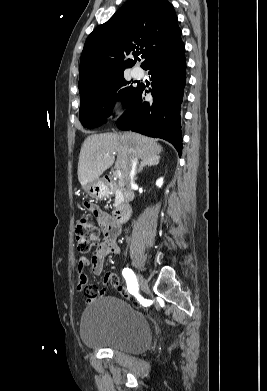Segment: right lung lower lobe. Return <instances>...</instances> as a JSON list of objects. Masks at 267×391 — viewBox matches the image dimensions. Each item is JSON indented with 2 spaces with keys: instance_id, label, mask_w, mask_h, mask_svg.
Returning a JSON list of instances; mask_svg holds the SVG:
<instances>
[{
  "instance_id": "obj_1",
  "label": "right lung lower lobe",
  "mask_w": 267,
  "mask_h": 391,
  "mask_svg": "<svg viewBox=\"0 0 267 391\" xmlns=\"http://www.w3.org/2000/svg\"><path fill=\"white\" fill-rule=\"evenodd\" d=\"M144 69L149 70L152 88L147 90L143 84H139L117 125L123 130L165 139L181 155L180 111L186 84L184 44L158 56ZM149 92L153 96L151 102L145 101Z\"/></svg>"
}]
</instances>
